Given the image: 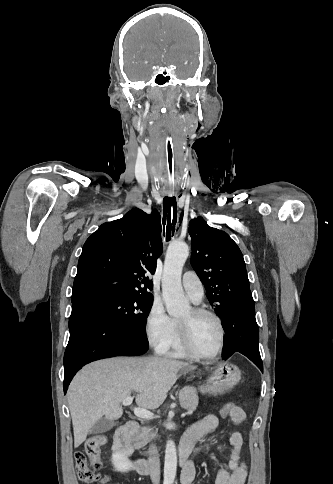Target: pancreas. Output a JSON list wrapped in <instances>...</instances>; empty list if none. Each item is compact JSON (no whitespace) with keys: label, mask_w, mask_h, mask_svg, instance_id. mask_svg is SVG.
Listing matches in <instances>:
<instances>
[{"label":"pancreas","mask_w":333,"mask_h":484,"mask_svg":"<svg viewBox=\"0 0 333 484\" xmlns=\"http://www.w3.org/2000/svg\"><path fill=\"white\" fill-rule=\"evenodd\" d=\"M179 401L181 407L188 410L187 414L190 415V412H193L196 407L198 406V395L196 389L192 387H184L179 392ZM156 433H150V429L144 427L140 429L135 435V441L138 445H145L149 440L150 437H155Z\"/></svg>","instance_id":"obj_1"}]
</instances>
